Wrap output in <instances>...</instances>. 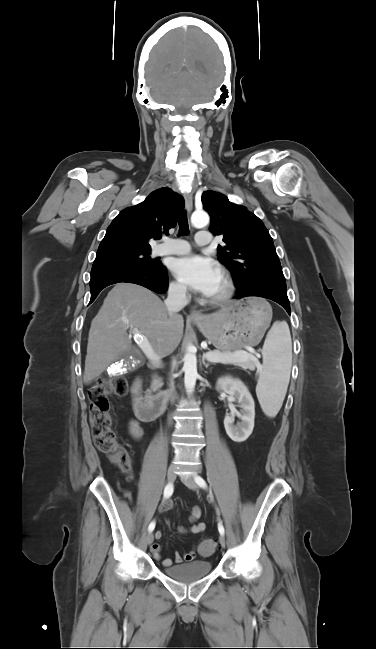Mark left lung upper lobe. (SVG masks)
Listing matches in <instances>:
<instances>
[{
	"label": "left lung upper lobe",
	"instance_id": "1",
	"mask_svg": "<svg viewBox=\"0 0 376 649\" xmlns=\"http://www.w3.org/2000/svg\"><path fill=\"white\" fill-rule=\"evenodd\" d=\"M202 203L211 217L210 232L224 236L225 245L217 248L218 258L233 271L240 290L263 281L287 291L273 240L263 222L215 191H205Z\"/></svg>",
	"mask_w": 376,
	"mask_h": 649
}]
</instances>
